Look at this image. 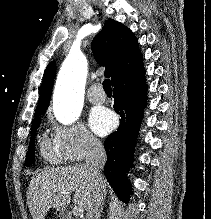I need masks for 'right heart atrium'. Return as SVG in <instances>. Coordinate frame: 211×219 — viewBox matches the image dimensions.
<instances>
[{"label": "right heart atrium", "instance_id": "right-heart-atrium-1", "mask_svg": "<svg viewBox=\"0 0 211 219\" xmlns=\"http://www.w3.org/2000/svg\"><path fill=\"white\" fill-rule=\"evenodd\" d=\"M52 128L53 143L67 161H81L103 149L101 141L80 122L71 125L53 123Z\"/></svg>", "mask_w": 211, "mask_h": 219}]
</instances>
